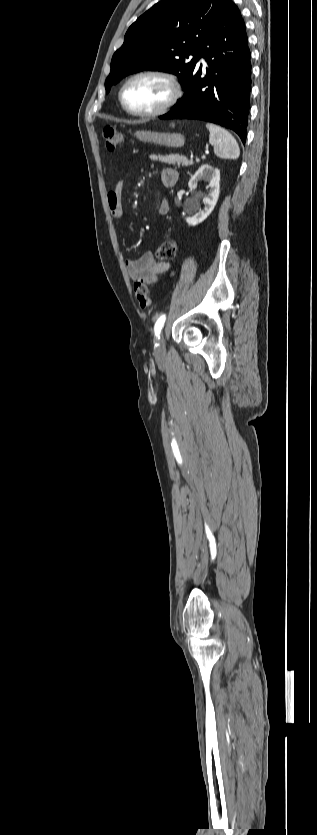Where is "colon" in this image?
<instances>
[{
	"instance_id": "5ec220e1",
	"label": "colon",
	"mask_w": 317,
	"mask_h": 835,
	"mask_svg": "<svg viewBox=\"0 0 317 835\" xmlns=\"http://www.w3.org/2000/svg\"><path fill=\"white\" fill-rule=\"evenodd\" d=\"M103 136L105 139L106 147L108 150H115L117 147L121 145L123 142V135L120 131L112 126H107L104 128ZM179 251V244L176 240L172 238H168L160 247L156 250L155 255L159 259H173L176 257ZM134 291L136 298L142 308H148L151 305V299L148 296V290L145 284L135 281L134 282Z\"/></svg>"
}]
</instances>
